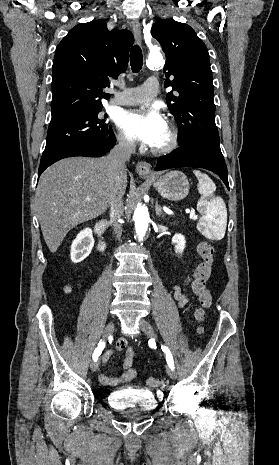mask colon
Instances as JSON below:
<instances>
[{
  "label": "colon",
  "mask_w": 279,
  "mask_h": 465,
  "mask_svg": "<svg viewBox=\"0 0 279 465\" xmlns=\"http://www.w3.org/2000/svg\"><path fill=\"white\" fill-rule=\"evenodd\" d=\"M198 254L201 258L200 263L196 266L193 281L192 291L198 297L200 308L196 312V318L202 322L206 318V309L212 304V296L207 288V283L210 279L212 266L215 257V249L210 242L204 241L198 245ZM203 328H199L202 332ZM162 380L155 376H150L146 379V384L150 388H158L162 385Z\"/></svg>",
  "instance_id": "5ec220e1"
}]
</instances>
